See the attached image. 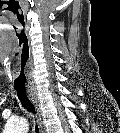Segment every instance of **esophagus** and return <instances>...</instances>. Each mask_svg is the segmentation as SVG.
<instances>
[{
    "mask_svg": "<svg viewBox=\"0 0 120 133\" xmlns=\"http://www.w3.org/2000/svg\"><path fill=\"white\" fill-rule=\"evenodd\" d=\"M27 93H28V97L30 98L31 102L35 106L37 121H38V125L40 128V132L46 133L45 127H44L43 115H42V111H41V106H40V102H39V98H38V95L36 93V90L29 89Z\"/></svg>",
    "mask_w": 120,
    "mask_h": 133,
    "instance_id": "obj_1",
    "label": "esophagus"
}]
</instances>
